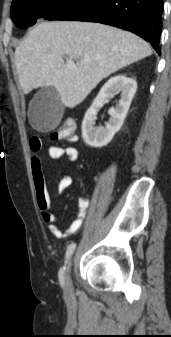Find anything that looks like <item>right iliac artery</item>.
<instances>
[{"label": "right iliac artery", "instance_id": "right-iliac-artery-1", "mask_svg": "<svg viewBox=\"0 0 171 337\" xmlns=\"http://www.w3.org/2000/svg\"><path fill=\"white\" fill-rule=\"evenodd\" d=\"M75 247H76L75 243H71L67 247V251H66V255H65L66 259H69L71 257V255L73 254V252L75 250ZM64 269L65 268L61 269L60 274H59V279H60L61 284H63V282H64V276H63Z\"/></svg>", "mask_w": 171, "mask_h": 337}]
</instances>
